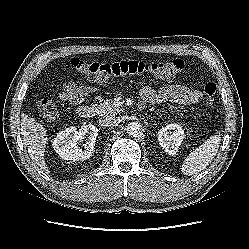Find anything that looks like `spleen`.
I'll list each match as a JSON object with an SVG mask.
<instances>
[{"instance_id": "3e777b00", "label": "spleen", "mask_w": 249, "mask_h": 249, "mask_svg": "<svg viewBox=\"0 0 249 249\" xmlns=\"http://www.w3.org/2000/svg\"><path fill=\"white\" fill-rule=\"evenodd\" d=\"M221 137L219 135L210 137L194 152H192L183 163V173L191 176L205 170L214 157L220 146Z\"/></svg>"}]
</instances>
